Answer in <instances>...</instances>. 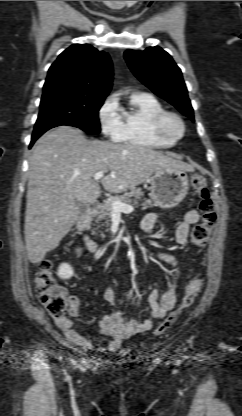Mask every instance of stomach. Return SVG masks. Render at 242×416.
<instances>
[{
  "instance_id": "stomach-1",
  "label": "stomach",
  "mask_w": 242,
  "mask_h": 416,
  "mask_svg": "<svg viewBox=\"0 0 242 416\" xmlns=\"http://www.w3.org/2000/svg\"><path fill=\"white\" fill-rule=\"evenodd\" d=\"M149 183L154 205L162 209L177 206L186 197L189 189L186 171L169 167L156 171Z\"/></svg>"
}]
</instances>
